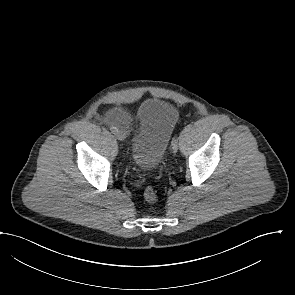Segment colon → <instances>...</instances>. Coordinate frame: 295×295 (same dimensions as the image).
Listing matches in <instances>:
<instances>
[{"instance_id": "5ec220e1", "label": "colon", "mask_w": 295, "mask_h": 295, "mask_svg": "<svg viewBox=\"0 0 295 295\" xmlns=\"http://www.w3.org/2000/svg\"><path fill=\"white\" fill-rule=\"evenodd\" d=\"M144 198L147 202L153 203L157 200V194L156 191L152 187H147L144 190Z\"/></svg>"}]
</instances>
